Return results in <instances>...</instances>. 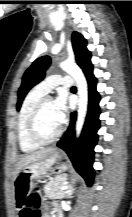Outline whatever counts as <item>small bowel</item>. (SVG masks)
Returning a JSON list of instances; mask_svg holds the SVG:
<instances>
[{"instance_id": "1", "label": "small bowel", "mask_w": 132, "mask_h": 217, "mask_svg": "<svg viewBox=\"0 0 132 217\" xmlns=\"http://www.w3.org/2000/svg\"><path fill=\"white\" fill-rule=\"evenodd\" d=\"M28 193L19 191L16 195V207L19 211V217H32L31 210L26 205V197ZM51 205L46 204L44 210H48ZM42 217H49L48 215H43Z\"/></svg>"}]
</instances>
